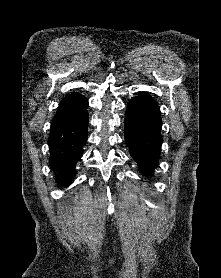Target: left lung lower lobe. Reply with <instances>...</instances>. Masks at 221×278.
<instances>
[{
    "label": "left lung lower lobe",
    "instance_id": "obj_1",
    "mask_svg": "<svg viewBox=\"0 0 221 278\" xmlns=\"http://www.w3.org/2000/svg\"><path fill=\"white\" fill-rule=\"evenodd\" d=\"M160 132L161 117L157 103L131 99L125 114L124 137L142 174H152L158 162L162 144Z\"/></svg>",
    "mask_w": 221,
    "mask_h": 278
}]
</instances>
